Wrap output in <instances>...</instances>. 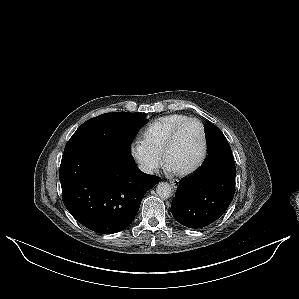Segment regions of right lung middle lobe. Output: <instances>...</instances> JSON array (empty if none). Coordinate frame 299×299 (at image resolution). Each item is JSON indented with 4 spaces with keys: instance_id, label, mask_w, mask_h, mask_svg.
Segmentation results:
<instances>
[{
    "instance_id": "obj_1",
    "label": "right lung middle lobe",
    "mask_w": 299,
    "mask_h": 299,
    "mask_svg": "<svg viewBox=\"0 0 299 299\" xmlns=\"http://www.w3.org/2000/svg\"><path fill=\"white\" fill-rule=\"evenodd\" d=\"M145 124V114L141 112L105 113L84 122L68 143H98L116 147L130 154L132 140L138 133V128Z\"/></svg>"
}]
</instances>
